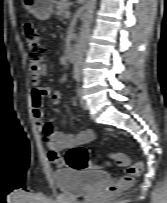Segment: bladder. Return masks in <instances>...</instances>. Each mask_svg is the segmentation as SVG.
I'll return each mask as SVG.
<instances>
[{"label":"bladder","mask_w":167,"mask_h":203,"mask_svg":"<svg viewBox=\"0 0 167 203\" xmlns=\"http://www.w3.org/2000/svg\"><path fill=\"white\" fill-rule=\"evenodd\" d=\"M110 178V173L98 170L59 168L52 173L57 190L74 196L88 193Z\"/></svg>","instance_id":"1"}]
</instances>
